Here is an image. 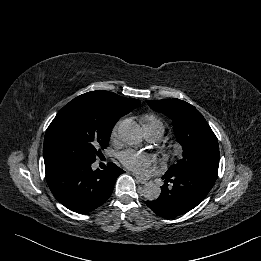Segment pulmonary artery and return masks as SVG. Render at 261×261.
Instances as JSON below:
<instances>
[{"mask_svg":"<svg viewBox=\"0 0 261 261\" xmlns=\"http://www.w3.org/2000/svg\"><path fill=\"white\" fill-rule=\"evenodd\" d=\"M145 136L149 141H157L161 138L162 136V131L159 128H150L144 131Z\"/></svg>","mask_w":261,"mask_h":261,"instance_id":"pulmonary-artery-1","label":"pulmonary artery"}]
</instances>
